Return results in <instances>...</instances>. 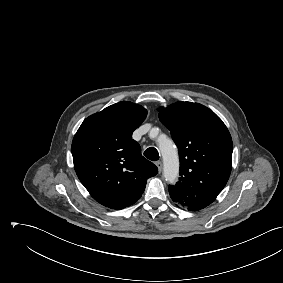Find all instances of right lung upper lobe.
<instances>
[{
    "mask_svg": "<svg viewBox=\"0 0 283 283\" xmlns=\"http://www.w3.org/2000/svg\"><path fill=\"white\" fill-rule=\"evenodd\" d=\"M147 110L129 101L113 104L86 118L72 142L76 174L90 195L110 209H123L140 199L157 167L141 155L133 131Z\"/></svg>",
    "mask_w": 283,
    "mask_h": 283,
    "instance_id": "obj_1",
    "label": "right lung upper lobe"
}]
</instances>
